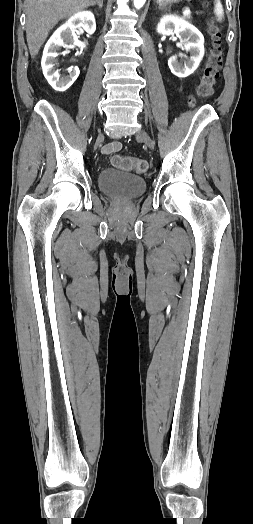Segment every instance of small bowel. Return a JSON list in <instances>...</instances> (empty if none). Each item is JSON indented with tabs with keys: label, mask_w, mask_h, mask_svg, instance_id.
Masks as SVG:
<instances>
[{
	"label": "small bowel",
	"mask_w": 253,
	"mask_h": 524,
	"mask_svg": "<svg viewBox=\"0 0 253 524\" xmlns=\"http://www.w3.org/2000/svg\"><path fill=\"white\" fill-rule=\"evenodd\" d=\"M185 103L186 105H188L190 108H193L196 103H197V98L196 96L194 95H191V94H188L185 98ZM122 148V143L119 142V141H114V142H111V143H108L106 144L103 148H102V153L104 155H111V154H114L116 152H118L120 149Z\"/></svg>",
	"instance_id": "small-bowel-1"
}]
</instances>
